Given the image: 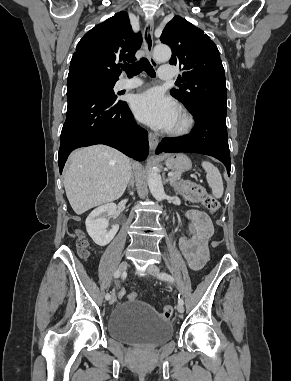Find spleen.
Here are the masks:
<instances>
[{
    "mask_svg": "<svg viewBox=\"0 0 291 381\" xmlns=\"http://www.w3.org/2000/svg\"><path fill=\"white\" fill-rule=\"evenodd\" d=\"M202 167L206 171V179L209 184V187L212 190L213 196L216 198H221L223 195L224 188L222 176L219 170L209 161H203Z\"/></svg>",
    "mask_w": 291,
    "mask_h": 381,
    "instance_id": "3e777b00",
    "label": "spleen"
}]
</instances>
